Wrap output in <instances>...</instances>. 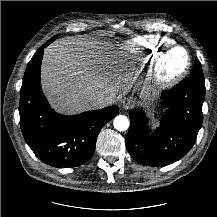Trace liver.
Instances as JSON below:
<instances>
[{
    "instance_id": "6515ba94",
    "label": "liver",
    "mask_w": 217,
    "mask_h": 217,
    "mask_svg": "<svg viewBox=\"0 0 217 217\" xmlns=\"http://www.w3.org/2000/svg\"><path fill=\"white\" fill-rule=\"evenodd\" d=\"M41 79L43 91L58 112L76 114L90 107L87 97L103 94L114 102L128 93L136 76L96 41L83 37H65L44 51Z\"/></svg>"
}]
</instances>
